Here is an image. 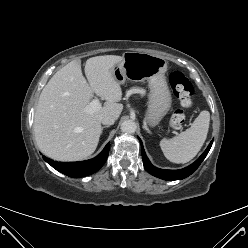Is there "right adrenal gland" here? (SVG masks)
<instances>
[{
    "mask_svg": "<svg viewBox=\"0 0 248 248\" xmlns=\"http://www.w3.org/2000/svg\"><path fill=\"white\" fill-rule=\"evenodd\" d=\"M108 127H109L108 125H107V126L102 127L101 133L103 132V130H104L105 128H108Z\"/></svg>",
    "mask_w": 248,
    "mask_h": 248,
    "instance_id": "obj_1",
    "label": "right adrenal gland"
}]
</instances>
